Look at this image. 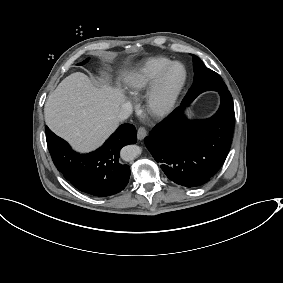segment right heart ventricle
<instances>
[{
    "label": "right heart ventricle",
    "mask_w": 283,
    "mask_h": 283,
    "mask_svg": "<svg viewBox=\"0 0 283 283\" xmlns=\"http://www.w3.org/2000/svg\"><path fill=\"white\" fill-rule=\"evenodd\" d=\"M170 62H172L171 59L164 56L147 59L125 75V90L134 97L143 95L148 90L158 72Z\"/></svg>",
    "instance_id": "obj_1"
}]
</instances>
